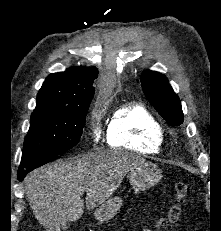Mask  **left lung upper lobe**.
I'll list each match as a JSON object with an SVG mask.
<instances>
[{
	"instance_id": "5c2ea615",
	"label": "left lung upper lobe",
	"mask_w": 221,
	"mask_h": 231,
	"mask_svg": "<svg viewBox=\"0 0 221 231\" xmlns=\"http://www.w3.org/2000/svg\"><path fill=\"white\" fill-rule=\"evenodd\" d=\"M141 85L150 104L171 126L183 123V112L179 97L174 93L167 78L158 72L144 71Z\"/></svg>"
}]
</instances>
